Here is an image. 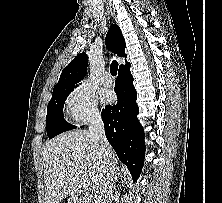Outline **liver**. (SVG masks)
Listing matches in <instances>:
<instances>
[{
    "label": "liver",
    "instance_id": "6515ba94",
    "mask_svg": "<svg viewBox=\"0 0 222 203\" xmlns=\"http://www.w3.org/2000/svg\"><path fill=\"white\" fill-rule=\"evenodd\" d=\"M42 156L45 203H60L77 193L81 180L88 181L90 192L96 193L101 180L109 172L108 163L99 154L95 140L87 130L69 131L46 142ZM112 161L116 174L118 158L113 150Z\"/></svg>",
    "mask_w": 222,
    "mask_h": 203
}]
</instances>
